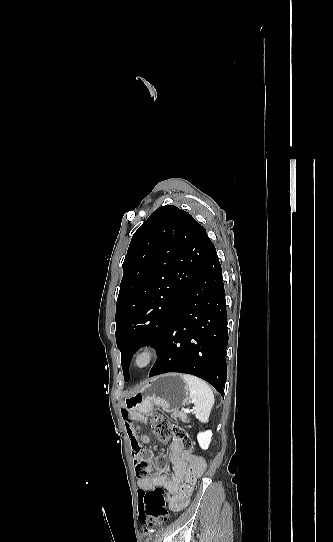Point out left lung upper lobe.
Segmentation results:
<instances>
[{
  "label": "left lung upper lobe",
  "instance_id": "left-lung-upper-lobe-1",
  "mask_svg": "<svg viewBox=\"0 0 333 542\" xmlns=\"http://www.w3.org/2000/svg\"><path fill=\"white\" fill-rule=\"evenodd\" d=\"M213 244L189 213L165 205L134 233L116 306V341L125 381L133 354L144 345L158 351L182 298Z\"/></svg>",
  "mask_w": 333,
  "mask_h": 542
}]
</instances>
